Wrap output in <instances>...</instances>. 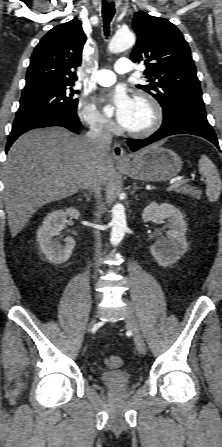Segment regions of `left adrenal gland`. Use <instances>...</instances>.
<instances>
[{
    "label": "left adrenal gland",
    "mask_w": 222,
    "mask_h": 447,
    "mask_svg": "<svg viewBox=\"0 0 222 447\" xmlns=\"http://www.w3.org/2000/svg\"><path fill=\"white\" fill-rule=\"evenodd\" d=\"M140 189H141V187H138V186L136 185V183H134V184H133V190H132L131 194L134 195V194L136 193V191H137V190H140Z\"/></svg>",
    "instance_id": "1"
}]
</instances>
